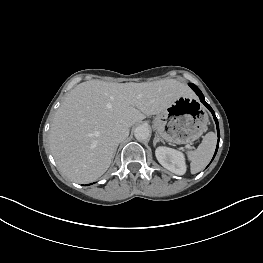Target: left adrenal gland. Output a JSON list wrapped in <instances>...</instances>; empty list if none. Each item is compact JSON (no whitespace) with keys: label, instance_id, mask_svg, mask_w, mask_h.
<instances>
[{"label":"left adrenal gland","instance_id":"left-adrenal-gland-1","mask_svg":"<svg viewBox=\"0 0 263 263\" xmlns=\"http://www.w3.org/2000/svg\"><path fill=\"white\" fill-rule=\"evenodd\" d=\"M157 142H160V138L155 135L154 140H153V145H154V147L156 146V143H157Z\"/></svg>","mask_w":263,"mask_h":263}]
</instances>
